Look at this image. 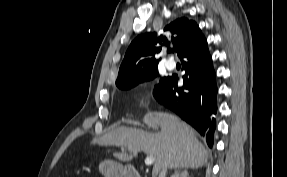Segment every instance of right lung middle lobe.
Returning <instances> with one entry per match:
<instances>
[{
  "label": "right lung middle lobe",
  "instance_id": "right-lung-middle-lobe-1",
  "mask_svg": "<svg viewBox=\"0 0 287 177\" xmlns=\"http://www.w3.org/2000/svg\"><path fill=\"white\" fill-rule=\"evenodd\" d=\"M158 76V69L148 73L147 75L137 79V80H133V81H129V82H125V83H121V84H117L116 86L120 89H130L134 86H136L137 84L144 82V81H148L151 79H154L155 77ZM165 77H162L160 81H164Z\"/></svg>",
  "mask_w": 287,
  "mask_h": 177
}]
</instances>
